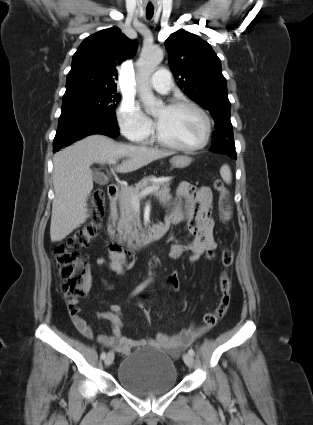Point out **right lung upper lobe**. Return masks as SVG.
<instances>
[{"label": "right lung upper lobe", "mask_w": 313, "mask_h": 425, "mask_svg": "<svg viewBox=\"0 0 313 425\" xmlns=\"http://www.w3.org/2000/svg\"><path fill=\"white\" fill-rule=\"evenodd\" d=\"M137 42L112 27L90 35L73 55L66 92L116 89V67L136 53Z\"/></svg>", "instance_id": "right-lung-upper-lobe-1"}]
</instances>
